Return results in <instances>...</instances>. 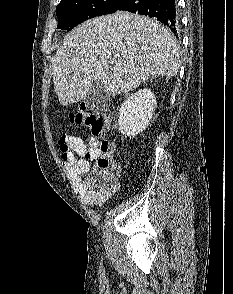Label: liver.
Wrapping results in <instances>:
<instances>
[{
  "instance_id": "liver-1",
  "label": "liver",
  "mask_w": 233,
  "mask_h": 294,
  "mask_svg": "<svg viewBox=\"0 0 233 294\" xmlns=\"http://www.w3.org/2000/svg\"><path fill=\"white\" fill-rule=\"evenodd\" d=\"M175 37L148 17L118 11L88 20L68 33L56 51L54 90L63 106L77 103L99 82L108 93H129L151 76L180 68Z\"/></svg>"
}]
</instances>
